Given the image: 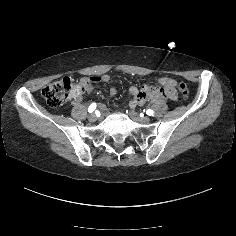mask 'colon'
I'll list each match as a JSON object with an SVG mask.
<instances>
[{"mask_svg":"<svg viewBox=\"0 0 236 236\" xmlns=\"http://www.w3.org/2000/svg\"><path fill=\"white\" fill-rule=\"evenodd\" d=\"M91 80L83 78L79 81L65 77L55 81L42 90V97L46 103L54 108L62 106L67 101L81 96L90 86ZM177 88L182 97L186 99L189 94V87L184 82H178Z\"/></svg>","mask_w":236,"mask_h":236,"instance_id":"5ec220e1","label":"colon"}]
</instances>
